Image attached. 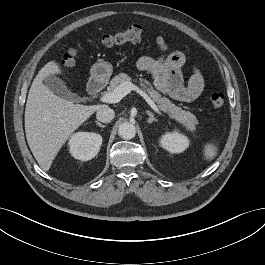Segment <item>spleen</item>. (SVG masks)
Returning <instances> with one entry per match:
<instances>
[{
	"mask_svg": "<svg viewBox=\"0 0 265 265\" xmlns=\"http://www.w3.org/2000/svg\"><path fill=\"white\" fill-rule=\"evenodd\" d=\"M204 155L208 161L214 159L217 155V147L213 144L206 145L204 149Z\"/></svg>",
	"mask_w": 265,
	"mask_h": 265,
	"instance_id": "1",
	"label": "spleen"
}]
</instances>
